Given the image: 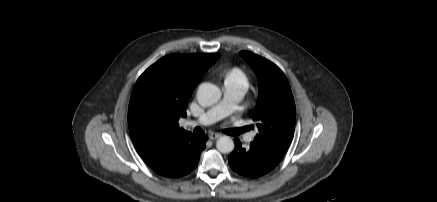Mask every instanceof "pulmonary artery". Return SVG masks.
I'll return each instance as SVG.
<instances>
[{"instance_id": "pulmonary-artery-1", "label": "pulmonary artery", "mask_w": 437, "mask_h": 202, "mask_svg": "<svg viewBox=\"0 0 437 202\" xmlns=\"http://www.w3.org/2000/svg\"><path fill=\"white\" fill-rule=\"evenodd\" d=\"M247 84L241 80H225L223 85V97L219 103L211 107L197 119L190 122L191 125H210L220 119L232 114L243 95L245 94ZM254 138V134H248L245 140L250 142Z\"/></svg>"}]
</instances>
